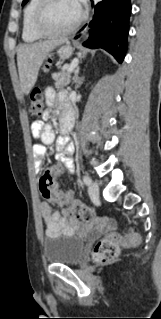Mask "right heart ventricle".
<instances>
[{
    "label": "right heart ventricle",
    "instance_id": "right-heart-ventricle-1",
    "mask_svg": "<svg viewBox=\"0 0 161 319\" xmlns=\"http://www.w3.org/2000/svg\"><path fill=\"white\" fill-rule=\"evenodd\" d=\"M41 0H29L27 3L22 23V39L26 42H33L41 38L33 29V18Z\"/></svg>",
    "mask_w": 161,
    "mask_h": 319
}]
</instances>
